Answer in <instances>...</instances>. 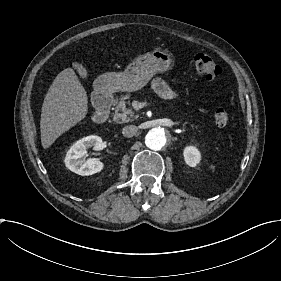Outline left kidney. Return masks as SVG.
Returning <instances> with one entry per match:
<instances>
[{
    "label": "left kidney",
    "instance_id": "5707ae66",
    "mask_svg": "<svg viewBox=\"0 0 281 281\" xmlns=\"http://www.w3.org/2000/svg\"><path fill=\"white\" fill-rule=\"evenodd\" d=\"M183 157L185 163L191 168H197L202 162V152L193 144L184 147Z\"/></svg>",
    "mask_w": 281,
    "mask_h": 281
}]
</instances>
